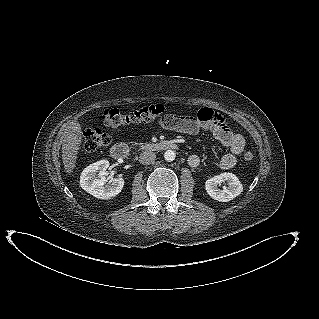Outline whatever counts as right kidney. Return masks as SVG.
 Instances as JSON below:
<instances>
[{
	"instance_id": "obj_1",
	"label": "right kidney",
	"mask_w": 319,
	"mask_h": 319,
	"mask_svg": "<svg viewBox=\"0 0 319 319\" xmlns=\"http://www.w3.org/2000/svg\"><path fill=\"white\" fill-rule=\"evenodd\" d=\"M108 167V160H100L86 167L80 176L82 189L98 199H110L118 195L123 189L124 179L114 178L110 180L109 184H106Z\"/></svg>"
}]
</instances>
